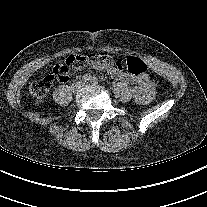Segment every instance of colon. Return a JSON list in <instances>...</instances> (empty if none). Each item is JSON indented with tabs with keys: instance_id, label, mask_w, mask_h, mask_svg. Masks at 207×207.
<instances>
[{
	"instance_id": "1",
	"label": "colon",
	"mask_w": 207,
	"mask_h": 207,
	"mask_svg": "<svg viewBox=\"0 0 207 207\" xmlns=\"http://www.w3.org/2000/svg\"><path fill=\"white\" fill-rule=\"evenodd\" d=\"M112 63L113 59L104 53L69 56L63 64L54 66L51 73L35 79L30 85V94L35 102L41 103L47 96L54 79L59 75L80 70L85 66L107 67ZM126 67L133 75H142L148 69L146 63L136 57H128L126 59Z\"/></svg>"
}]
</instances>
